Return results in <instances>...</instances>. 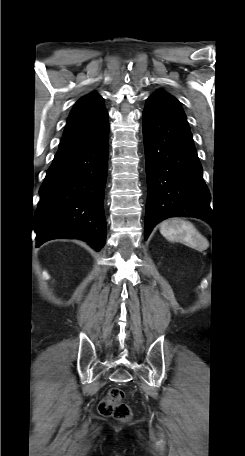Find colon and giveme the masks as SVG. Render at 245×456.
Returning a JSON list of instances; mask_svg holds the SVG:
<instances>
[{
	"mask_svg": "<svg viewBox=\"0 0 245 456\" xmlns=\"http://www.w3.org/2000/svg\"><path fill=\"white\" fill-rule=\"evenodd\" d=\"M125 394L122 389L113 387L108 390L105 397L98 405V411L101 415L113 417L120 421H126L131 418V409L124 402Z\"/></svg>",
	"mask_w": 245,
	"mask_h": 456,
	"instance_id": "5ec220e1",
	"label": "colon"
}]
</instances>
